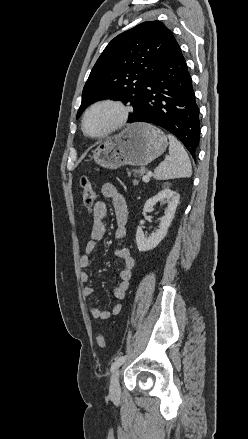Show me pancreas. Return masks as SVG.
I'll return each instance as SVG.
<instances>
[{"mask_svg":"<svg viewBox=\"0 0 248 439\" xmlns=\"http://www.w3.org/2000/svg\"><path fill=\"white\" fill-rule=\"evenodd\" d=\"M146 170L144 168H140V169H133L131 172H128V174L130 175L131 173L134 174V176H143L145 174ZM139 181L138 180H134L133 181V185H138Z\"/></svg>","mask_w":248,"mask_h":439,"instance_id":"1","label":"pancreas"}]
</instances>
